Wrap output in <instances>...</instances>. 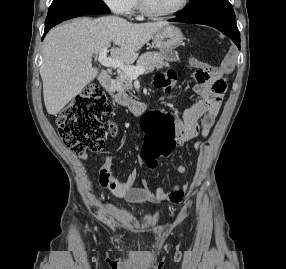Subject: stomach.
Wrapping results in <instances>:
<instances>
[{"label": "stomach", "mask_w": 286, "mask_h": 269, "mask_svg": "<svg viewBox=\"0 0 286 269\" xmlns=\"http://www.w3.org/2000/svg\"><path fill=\"white\" fill-rule=\"evenodd\" d=\"M183 34L179 28L167 25L153 36V44L158 49H175L183 42Z\"/></svg>", "instance_id": "obj_1"}]
</instances>
